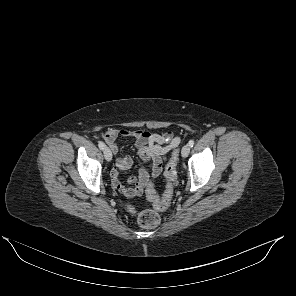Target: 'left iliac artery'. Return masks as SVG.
Here are the masks:
<instances>
[{
  "label": "left iliac artery",
  "instance_id": "44dca946",
  "mask_svg": "<svg viewBox=\"0 0 296 296\" xmlns=\"http://www.w3.org/2000/svg\"><path fill=\"white\" fill-rule=\"evenodd\" d=\"M188 144H189L190 147H193V145H194V140H190Z\"/></svg>",
  "mask_w": 296,
  "mask_h": 296
}]
</instances>
